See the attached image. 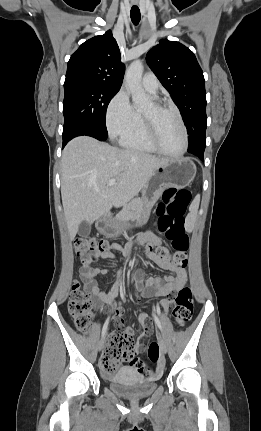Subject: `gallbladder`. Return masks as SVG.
<instances>
[{
    "mask_svg": "<svg viewBox=\"0 0 261 431\" xmlns=\"http://www.w3.org/2000/svg\"><path fill=\"white\" fill-rule=\"evenodd\" d=\"M90 232H91V224L86 221L81 222L78 230L79 235L86 237L90 234Z\"/></svg>",
    "mask_w": 261,
    "mask_h": 431,
    "instance_id": "bac80fb5",
    "label": "gallbladder"
}]
</instances>
